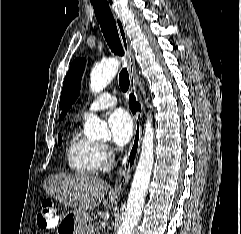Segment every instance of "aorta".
Listing matches in <instances>:
<instances>
[{"instance_id":"aorta-1","label":"aorta","mask_w":241,"mask_h":234,"mask_svg":"<svg viewBox=\"0 0 241 234\" xmlns=\"http://www.w3.org/2000/svg\"><path fill=\"white\" fill-rule=\"evenodd\" d=\"M119 60L116 58L101 62L92 69L90 76V89L94 93L102 91L114 78L119 69ZM85 135L89 139H107L111 136L106 123L96 115L87 117L84 123ZM154 129L152 119L148 116L142 140V148L131 184L127 207L123 222L117 234H132L138 224L145 204L146 192L150 182L154 164Z\"/></svg>"}]
</instances>
